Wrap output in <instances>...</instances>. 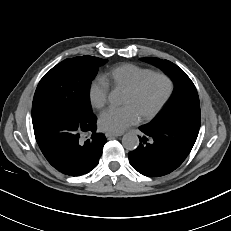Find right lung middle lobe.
Returning <instances> with one entry per match:
<instances>
[{
	"label": "right lung middle lobe",
	"mask_w": 231,
	"mask_h": 231,
	"mask_svg": "<svg viewBox=\"0 0 231 231\" xmlns=\"http://www.w3.org/2000/svg\"><path fill=\"white\" fill-rule=\"evenodd\" d=\"M106 59L89 55L66 59L40 80L32 104V122L48 117L66 118L75 123L94 119L88 90L97 68Z\"/></svg>",
	"instance_id": "1"
}]
</instances>
